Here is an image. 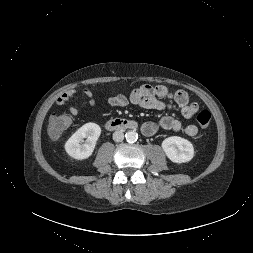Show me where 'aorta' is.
<instances>
[{"label":"aorta","instance_id":"1","mask_svg":"<svg viewBox=\"0 0 253 253\" xmlns=\"http://www.w3.org/2000/svg\"><path fill=\"white\" fill-rule=\"evenodd\" d=\"M125 137L128 142H135L138 139V133L134 130H129L126 132Z\"/></svg>","mask_w":253,"mask_h":253}]
</instances>
